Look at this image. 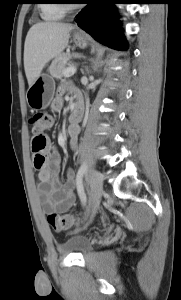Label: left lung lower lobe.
<instances>
[{
	"mask_svg": "<svg viewBox=\"0 0 181 300\" xmlns=\"http://www.w3.org/2000/svg\"><path fill=\"white\" fill-rule=\"evenodd\" d=\"M119 1L87 0L88 5L79 12L76 22L101 43L118 50H126L127 44L113 7V4H118Z\"/></svg>",
	"mask_w": 181,
	"mask_h": 300,
	"instance_id": "1",
	"label": "left lung lower lobe"
}]
</instances>
